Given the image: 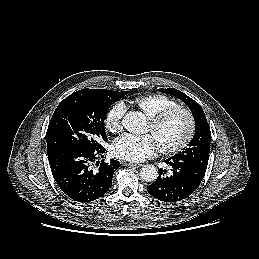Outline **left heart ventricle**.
Returning <instances> with one entry per match:
<instances>
[{
  "mask_svg": "<svg viewBox=\"0 0 259 259\" xmlns=\"http://www.w3.org/2000/svg\"><path fill=\"white\" fill-rule=\"evenodd\" d=\"M147 132L153 137L157 146L170 147L185 136L187 120L183 115L177 114L168 119L155 131H151L148 124Z\"/></svg>",
  "mask_w": 259,
  "mask_h": 259,
  "instance_id": "1",
  "label": "left heart ventricle"
}]
</instances>
